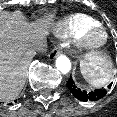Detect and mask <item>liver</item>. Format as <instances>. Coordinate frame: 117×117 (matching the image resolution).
Returning a JSON list of instances; mask_svg holds the SVG:
<instances>
[{"label":"liver","mask_w":117,"mask_h":117,"mask_svg":"<svg viewBox=\"0 0 117 117\" xmlns=\"http://www.w3.org/2000/svg\"><path fill=\"white\" fill-rule=\"evenodd\" d=\"M53 15L31 23L20 11H0V101H11L27 79L34 47L54 28Z\"/></svg>","instance_id":"liver-1"}]
</instances>
